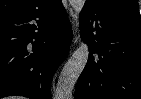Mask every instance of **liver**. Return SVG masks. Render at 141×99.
<instances>
[{
    "instance_id": "6515ba94",
    "label": "liver",
    "mask_w": 141,
    "mask_h": 99,
    "mask_svg": "<svg viewBox=\"0 0 141 99\" xmlns=\"http://www.w3.org/2000/svg\"><path fill=\"white\" fill-rule=\"evenodd\" d=\"M12 99H23V98L15 97V98H12Z\"/></svg>"
}]
</instances>
